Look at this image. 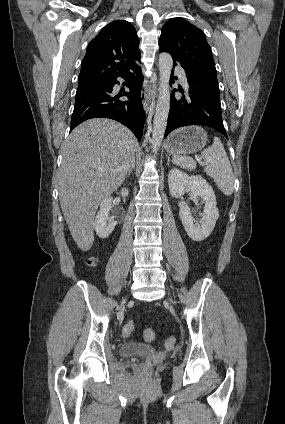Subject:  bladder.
Instances as JSON below:
<instances>
[{
    "instance_id": "obj_1",
    "label": "bladder",
    "mask_w": 285,
    "mask_h": 424,
    "mask_svg": "<svg viewBox=\"0 0 285 424\" xmlns=\"http://www.w3.org/2000/svg\"><path fill=\"white\" fill-rule=\"evenodd\" d=\"M120 352L123 356H142L153 352V349L147 344L127 342L121 346Z\"/></svg>"
}]
</instances>
